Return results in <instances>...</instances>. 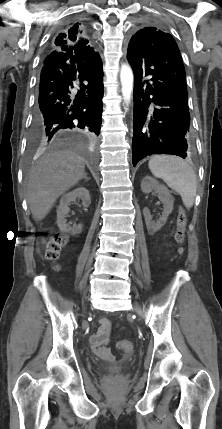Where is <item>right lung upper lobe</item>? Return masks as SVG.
<instances>
[{"label":"right lung upper lobe","instance_id":"cb5924a9","mask_svg":"<svg viewBox=\"0 0 222 429\" xmlns=\"http://www.w3.org/2000/svg\"><path fill=\"white\" fill-rule=\"evenodd\" d=\"M88 40L78 31V25L72 27L69 32L60 33L51 43V51L62 52L75 56L79 60H87L98 53L88 45ZM49 54V55H50Z\"/></svg>","mask_w":222,"mask_h":429}]
</instances>
